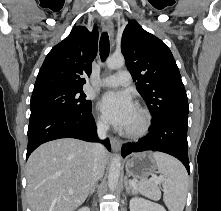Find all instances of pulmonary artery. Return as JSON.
Here are the masks:
<instances>
[{
  "mask_svg": "<svg viewBox=\"0 0 221 211\" xmlns=\"http://www.w3.org/2000/svg\"><path fill=\"white\" fill-rule=\"evenodd\" d=\"M131 83V74L127 70H121L114 75L100 80L99 85L103 87L127 86Z\"/></svg>",
  "mask_w": 221,
  "mask_h": 211,
  "instance_id": "obj_1",
  "label": "pulmonary artery"
}]
</instances>
